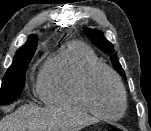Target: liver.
Returning <instances> with one entry per match:
<instances>
[{
	"instance_id": "obj_1",
	"label": "liver",
	"mask_w": 151,
	"mask_h": 131,
	"mask_svg": "<svg viewBox=\"0 0 151 131\" xmlns=\"http://www.w3.org/2000/svg\"><path fill=\"white\" fill-rule=\"evenodd\" d=\"M95 119L68 107L20 106L0 121V131H79Z\"/></svg>"
}]
</instances>
